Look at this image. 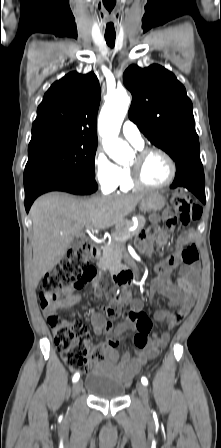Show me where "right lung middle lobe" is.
Returning a JSON list of instances; mask_svg holds the SVG:
<instances>
[{
    "label": "right lung middle lobe",
    "mask_w": 221,
    "mask_h": 448,
    "mask_svg": "<svg viewBox=\"0 0 221 448\" xmlns=\"http://www.w3.org/2000/svg\"><path fill=\"white\" fill-rule=\"evenodd\" d=\"M97 140L75 139L28 148L25 170L50 168L79 178L95 180Z\"/></svg>",
    "instance_id": "right-lung-middle-lobe-1"
}]
</instances>
